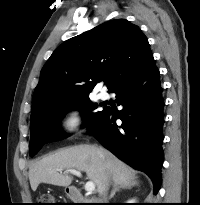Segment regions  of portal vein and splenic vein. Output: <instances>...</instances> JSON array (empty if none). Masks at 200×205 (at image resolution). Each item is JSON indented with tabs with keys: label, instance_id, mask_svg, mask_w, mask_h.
<instances>
[{
	"label": "portal vein and splenic vein",
	"instance_id": "obj_1",
	"mask_svg": "<svg viewBox=\"0 0 200 205\" xmlns=\"http://www.w3.org/2000/svg\"><path fill=\"white\" fill-rule=\"evenodd\" d=\"M59 171L62 172V170H59ZM66 172L67 173H71V174L76 175V176H79V177L81 176V172L77 171L75 169H70V170H67ZM85 190L88 193L93 192L95 190V184L93 182H91V181L86 182Z\"/></svg>",
	"mask_w": 200,
	"mask_h": 205
}]
</instances>
